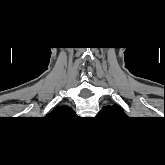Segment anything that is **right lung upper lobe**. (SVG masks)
Returning <instances> with one entry per match:
<instances>
[{
	"label": "right lung upper lobe",
	"mask_w": 165,
	"mask_h": 165,
	"mask_svg": "<svg viewBox=\"0 0 165 165\" xmlns=\"http://www.w3.org/2000/svg\"><path fill=\"white\" fill-rule=\"evenodd\" d=\"M74 111L71 107L67 105L57 106L51 113H49L46 117L49 118H57L63 119L67 118L68 116L74 115Z\"/></svg>",
	"instance_id": "obj_1"
}]
</instances>
